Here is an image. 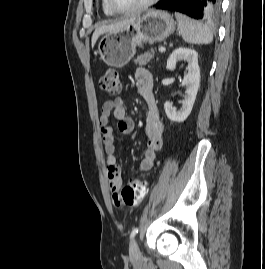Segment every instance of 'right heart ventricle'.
Here are the masks:
<instances>
[{
  "mask_svg": "<svg viewBox=\"0 0 265 269\" xmlns=\"http://www.w3.org/2000/svg\"><path fill=\"white\" fill-rule=\"evenodd\" d=\"M101 6H102V9H103V12L106 15H114L115 14V12L110 8L107 0H101Z\"/></svg>",
  "mask_w": 265,
  "mask_h": 269,
  "instance_id": "obj_1",
  "label": "right heart ventricle"
}]
</instances>
